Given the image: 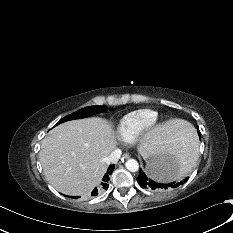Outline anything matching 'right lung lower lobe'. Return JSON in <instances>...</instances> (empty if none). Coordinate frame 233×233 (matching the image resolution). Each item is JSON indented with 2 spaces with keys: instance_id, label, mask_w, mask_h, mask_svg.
I'll return each instance as SVG.
<instances>
[{
  "instance_id": "right-lung-lower-lobe-1",
  "label": "right lung lower lobe",
  "mask_w": 233,
  "mask_h": 233,
  "mask_svg": "<svg viewBox=\"0 0 233 233\" xmlns=\"http://www.w3.org/2000/svg\"><path fill=\"white\" fill-rule=\"evenodd\" d=\"M114 169V165H110L107 173L104 175V177L102 178V180L100 181V184L97 185L94 189H92L91 195L92 196H97L99 193L103 192L104 190H106L108 188V181H109V176L112 174ZM71 198H78V197H71Z\"/></svg>"
}]
</instances>
